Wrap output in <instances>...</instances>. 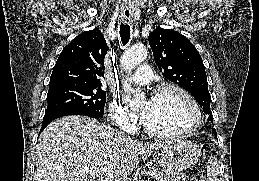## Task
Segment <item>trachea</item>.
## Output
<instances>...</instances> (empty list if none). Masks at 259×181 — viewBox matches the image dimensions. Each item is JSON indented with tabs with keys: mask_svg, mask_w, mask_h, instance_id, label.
Segmentation results:
<instances>
[{
	"mask_svg": "<svg viewBox=\"0 0 259 181\" xmlns=\"http://www.w3.org/2000/svg\"><path fill=\"white\" fill-rule=\"evenodd\" d=\"M120 38L123 45H126L130 39V26L124 23L120 25Z\"/></svg>",
	"mask_w": 259,
	"mask_h": 181,
	"instance_id": "3493384b",
	"label": "trachea"
}]
</instances>
